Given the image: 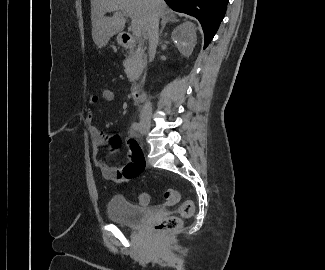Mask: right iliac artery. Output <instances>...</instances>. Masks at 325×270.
<instances>
[{
  "mask_svg": "<svg viewBox=\"0 0 325 270\" xmlns=\"http://www.w3.org/2000/svg\"><path fill=\"white\" fill-rule=\"evenodd\" d=\"M132 128L136 131L140 130L141 129V124L140 123H137V122H134L132 124Z\"/></svg>",
  "mask_w": 325,
  "mask_h": 270,
  "instance_id": "right-iliac-artery-1",
  "label": "right iliac artery"
}]
</instances>
